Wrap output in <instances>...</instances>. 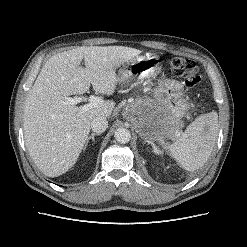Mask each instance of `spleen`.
Returning a JSON list of instances; mask_svg holds the SVG:
<instances>
[{
    "mask_svg": "<svg viewBox=\"0 0 247 247\" xmlns=\"http://www.w3.org/2000/svg\"><path fill=\"white\" fill-rule=\"evenodd\" d=\"M218 135V114L197 117L173 144H164L172 158L187 171L201 168L210 157Z\"/></svg>",
    "mask_w": 247,
    "mask_h": 247,
    "instance_id": "spleen-1",
    "label": "spleen"
}]
</instances>
